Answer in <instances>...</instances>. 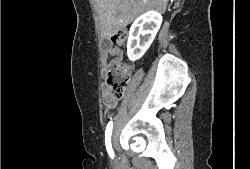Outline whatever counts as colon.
<instances>
[{
	"label": "colon",
	"mask_w": 250,
	"mask_h": 169,
	"mask_svg": "<svg viewBox=\"0 0 250 169\" xmlns=\"http://www.w3.org/2000/svg\"><path fill=\"white\" fill-rule=\"evenodd\" d=\"M126 41L127 34L125 32L112 34V43L123 46ZM131 70V66L125 63H118L108 70L106 82L113 98L121 99L124 96L130 80Z\"/></svg>",
	"instance_id": "obj_1"
}]
</instances>
